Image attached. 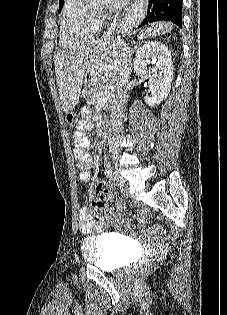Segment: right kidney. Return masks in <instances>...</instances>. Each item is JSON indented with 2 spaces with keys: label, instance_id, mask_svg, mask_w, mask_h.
I'll list each match as a JSON object with an SVG mask.
<instances>
[{
  "label": "right kidney",
  "instance_id": "right-kidney-1",
  "mask_svg": "<svg viewBox=\"0 0 227 315\" xmlns=\"http://www.w3.org/2000/svg\"><path fill=\"white\" fill-rule=\"evenodd\" d=\"M150 64L154 66L152 69L148 67ZM173 70L171 51L165 44L149 41L138 49L134 59V71L137 75L148 77L151 96L144 99L150 107L159 105L167 98L171 90Z\"/></svg>",
  "mask_w": 227,
  "mask_h": 315
}]
</instances>
